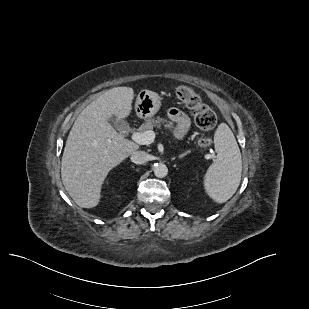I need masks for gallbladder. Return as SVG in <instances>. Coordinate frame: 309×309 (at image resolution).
I'll return each instance as SVG.
<instances>
[{"instance_id": "bac80fb5", "label": "gallbladder", "mask_w": 309, "mask_h": 309, "mask_svg": "<svg viewBox=\"0 0 309 309\" xmlns=\"http://www.w3.org/2000/svg\"><path fill=\"white\" fill-rule=\"evenodd\" d=\"M109 121H110L111 123H113V125L116 127V129H117L118 131H120V132H122V131H127L128 128H129L128 123L125 122V121L122 120V119H118V118H113V117H111V118L109 119Z\"/></svg>"}]
</instances>
